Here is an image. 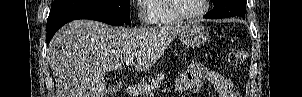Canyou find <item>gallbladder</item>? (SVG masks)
Masks as SVG:
<instances>
[{"label": "gallbladder", "instance_id": "obj_1", "mask_svg": "<svg viewBox=\"0 0 302 97\" xmlns=\"http://www.w3.org/2000/svg\"><path fill=\"white\" fill-rule=\"evenodd\" d=\"M116 91H117V88H116V87L110 86V87L108 88V90H107V93H108V94H113V93H115Z\"/></svg>", "mask_w": 302, "mask_h": 97}]
</instances>
